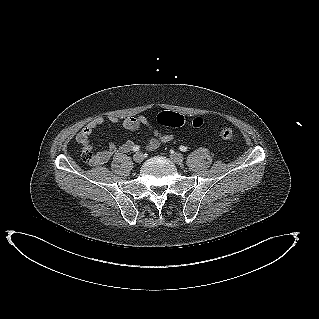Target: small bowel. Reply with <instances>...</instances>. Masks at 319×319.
Wrapping results in <instances>:
<instances>
[{"mask_svg":"<svg viewBox=\"0 0 319 319\" xmlns=\"http://www.w3.org/2000/svg\"><path fill=\"white\" fill-rule=\"evenodd\" d=\"M108 120L116 124L119 122V118L112 115ZM105 122L104 117L99 116L90 121L84 128H82L77 136V142L82 146L83 151H90L93 153V160L90 162L92 165L100 166L106 164L116 154H126L133 149L134 143L131 140H127L121 145L110 143L106 148L93 152V146L90 143V137L99 126ZM122 124L125 129L136 131L141 127L146 128L152 135L147 144L148 150H154L162 143H168L173 140L174 135L172 133H160L155 130L146 117L142 115L128 116L123 119Z\"/></svg>","mask_w":319,"mask_h":319,"instance_id":"c3829d8e","label":"small bowel"}]
</instances>
